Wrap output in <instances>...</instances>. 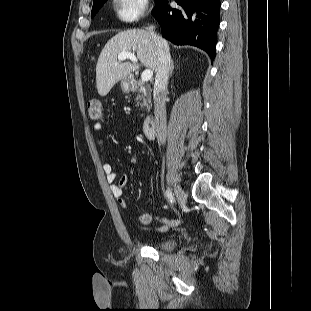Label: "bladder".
<instances>
[{"label":"bladder","mask_w":311,"mask_h":311,"mask_svg":"<svg viewBox=\"0 0 311 311\" xmlns=\"http://www.w3.org/2000/svg\"><path fill=\"white\" fill-rule=\"evenodd\" d=\"M178 242V239L175 237H169L165 239H161L155 243L156 248L162 250H171L173 249Z\"/></svg>","instance_id":"bladder-1"}]
</instances>
